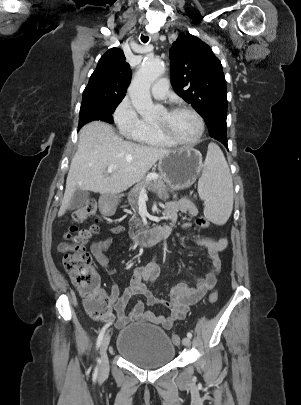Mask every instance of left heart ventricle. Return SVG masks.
Segmentation results:
<instances>
[{
  "label": "left heart ventricle",
  "instance_id": "left-heart-ventricle-1",
  "mask_svg": "<svg viewBox=\"0 0 301 405\" xmlns=\"http://www.w3.org/2000/svg\"><path fill=\"white\" fill-rule=\"evenodd\" d=\"M161 124L176 138L183 141L193 140L198 133V122L193 114L188 111L168 113L163 110L154 120Z\"/></svg>",
  "mask_w": 301,
  "mask_h": 405
}]
</instances>
